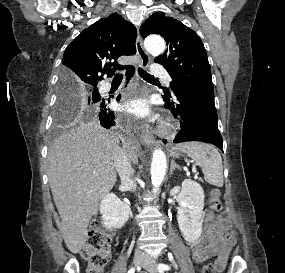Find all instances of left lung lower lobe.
<instances>
[{
	"label": "left lung lower lobe",
	"instance_id": "left-lung-lower-lobe-1",
	"mask_svg": "<svg viewBox=\"0 0 285 273\" xmlns=\"http://www.w3.org/2000/svg\"><path fill=\"white\" fill-rule=\"evenodd\" d=\"M173 100L164 96L175 118L180 119L181 130L175 143L184 141L209 142L223 151V141L218 129L214 93L175 92ZM166 144L167 140H163Z\"/></svg>",
	"mask_w": 285,
	"mask_h": 273
}]
</instances>
